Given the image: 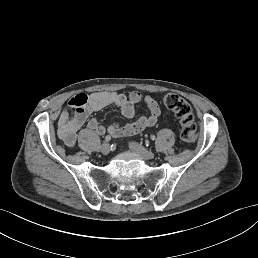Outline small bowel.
Segmentation results:
<instances>
[{"mask_svg": "<svg viewBox=\"0 0 258 258\" xmlns=\"http://www.w3.org/2000/svg\"><path fill=\"white\" fill-rule=\"evenodd\" d=\"M140 102L146 104L149 113L140 115L124 125L112 123L106 126L97 119L90 118L92 112L100 111L112 105L117 107L125 118L133 119L135 117V105ZM68 106L74 112L71 114L68 110H64L60 114L58 135L69 147L76 144L78 133L83 126H86L87 132L96 135L109 133L114 137L131 136L142 132L146 128L153 127L161 115L158 102L150 96L141 95L138 91H132L128 95L110 91L77 94L69 99Z\"/></svg>", "mask_w": 258, "mask_h": 258, "instance_id": "1", "label": "small bowel"}]
</instances>
